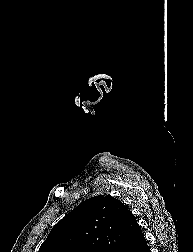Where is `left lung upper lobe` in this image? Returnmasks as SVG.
<instances>
[{
	"label": "left lung upper lobe",
	"mask_w": 193,
	"mask_h": 252,
	"mask_svg": "<svg viewBox=\"0 0 193 252\" xmlns=\"http://www.w3.org/2000/svg\"><path fill=\"white\" fill-rule=\"evenodd\" d=\"M137 226L121 201L94 196L52 228L39 252H123Z\"/></svg>",
	"instance_id": "left-lung-upper-lobe-1"
}]
</instances>
